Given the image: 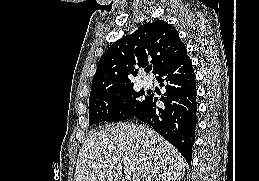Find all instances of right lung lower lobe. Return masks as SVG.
Here are the masks:
<instances>
[{"label": "right lung lower lobe", "instance_id": "1", "mask_svg": "<svg viewBox=\"0 0 259 181\" xmlns=\"http://www.w3.org/2000/svg\"><path fill=\"white\" fill-rule=\"evenodd\" d=\"M166 92L157 107V98L148 97L143 108L133 117L146 122L174 145L190 165L196 129V84L192 62L187 51L171 62L157 76Z\"/></svg>", "mask_w": 259, "mask_h": 181}]
</instances>
